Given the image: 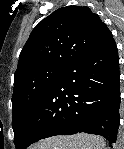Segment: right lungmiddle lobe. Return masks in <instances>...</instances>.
I'll list each match as a JSON object with an SVG mask.
<instances>
[{
  "instance_id": "right-lung-middle-lobe-1",
  "label": "right lung middle lobe",
  "mask_w": 124,
  "mask_h": 149,
  "mask_svg": "<svg viewBox=\"0 0 124 149\" xmlns=\"http://www.w3.org/2000/svg\"><path fill=\"white\" fill-rule=\"evenodd\" d=\"M62 68L42 66L21 75L14 81L12 95V128L15 145Z\"/></svg>"
}]
</instances>
